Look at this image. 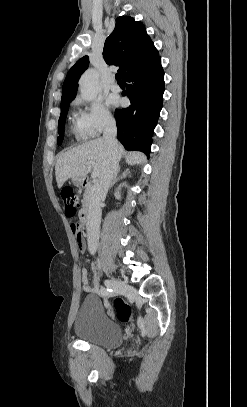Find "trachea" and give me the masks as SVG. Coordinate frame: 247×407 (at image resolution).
I'll list each match as a JSON object with an SVG mask.
<instances>
[{
    "label": "trachea",
    "mask_w": 247,
    "mask_h": 407,
    "mask_svg": "<svg viewBox=\"0 0 247 407\" xmlns=\"http://www.w3.org/2000/svg\"><path fill=\"white\" fill-rule=\"evenodd\" d=\"M115 78H116L117 82H121V75H120V73H117V74L115 75Z\"/></svg>",
    "instance_id": "1"
}]
</instances>
